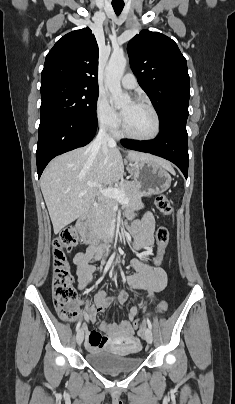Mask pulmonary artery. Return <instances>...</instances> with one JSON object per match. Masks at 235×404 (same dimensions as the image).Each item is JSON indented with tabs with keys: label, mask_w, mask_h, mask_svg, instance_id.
<instances>
[{
	"label": "pulmonary artery",
	"mask_w": 235,
	"mask_h": 404,
	"mask_svg": "<svg viewBox=\"0 0 235 404\" xmlns=\"http://www.w3.org/2000/svg\"><path fill=\"white\" fill-rule=\"evenodd\" d=\"M121 85L125 89H134L137 86L136 77L132 73H126L121 79Z\"/></svg>",
	"instance_id": "pulmonary-artery-1"
}]
</instances>
